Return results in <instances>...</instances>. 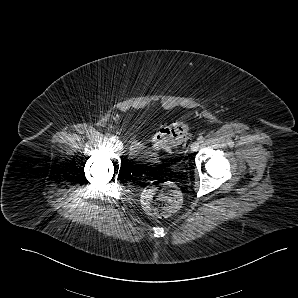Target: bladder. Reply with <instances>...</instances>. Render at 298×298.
Instances as JSON below:
<instances>
[{"instance_id": "obj_1", "label": "bladder", "mask_w": 298, "mask_h": 298, "mask_svg": "<svg viewBox=\"0 0 298 298\" xmlns=\"http://www.w3.org/2000/svg\"><path fill=\"white\" fill-rule=\"evenodd\" d=\"M130 154L138 160H150L154 157L153 152L149 148L147 142L138 135H134L130 141Z\"/></svg>"}]
</instances>
